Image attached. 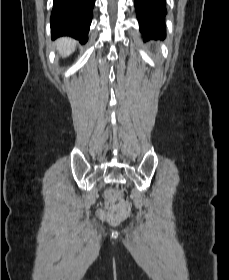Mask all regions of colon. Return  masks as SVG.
Returning <instances> with one entry per match:
<instances>
[{"label":"colon","instance_id":"1","mask_svg":"<svg viewBox=\"0 0 229 280\" xmlns=\"http://www.w3.org/2000/svg\"><path fill=\"white\" fill-rule=\"evenodd\" d=\"M106 198V212L102 214L103 216L112 221H120L130 215V204L118 189L112 188L108 190Z\"/></svg>","mask_w":229,"mask_h":280}]
</instances>
